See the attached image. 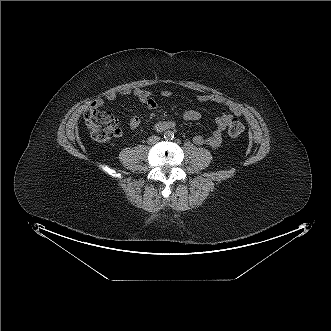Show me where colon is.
<instances>
[{"instance_id":"5ec220e1","label":"colon","mask_w":331,"mask_h":331,"mask_svg":"<svg viewBox=\"0 0 331 331\" xmlns=\"http://www.w3.org/2000/svg\"><path fill=\"white\" fill-rule=\"evenodd\" d=\"M84 119L94 140L107 142L120 134L116 117L110 111H101L90 107L84 114ZM244 125L237 118H233L228 126V133L232 137L240 136Z\"/></svg>"}]
</instances>
